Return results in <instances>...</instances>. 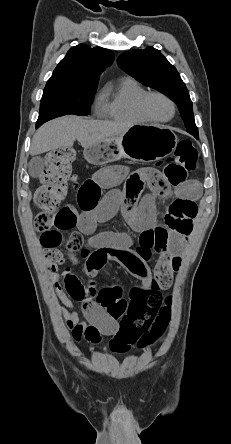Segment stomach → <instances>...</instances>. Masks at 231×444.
Returning <instances> with one entry per match:
<instances>
[{
	"label": "stomach",
	"instance_id": "obj_1",
	"mask_svg": "<svg viewBox=\"0 0 231 444\" xmlns=\"http://www.w3.org/2000/svg\"><path fill=\"white\" fill-rule=\"evenodd\" d=\"M177 142V136L168 127L140 124L120 136L107 138L84 149V157L91 164H106L121 158L153 162L169 156Z\"/></svg>",
	"mask_w": 231,
	"mask_h": 444
}]
</instances>
